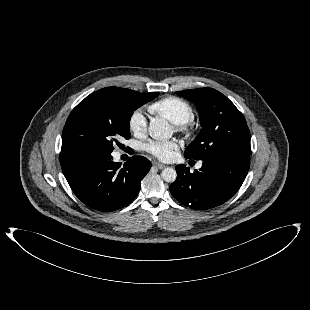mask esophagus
Segmentation results:
<instances>
[{"label": "esophagus", "mask_w": 310, "mask_h": 310, "mask_svg": "<svg viewBox=\"0 0 310 310\" xmlns=\"http://www.w3.org/2000/svg\"><path fill=\"white\" fill-rule=\"evenodd\" d=\"M153 166L156 167V168H158V169H163V168L165 167L164 164H161V163H159V162H154V163H153Z\"/></svg>", "instance_id": "34e87169"}]
</instances>
